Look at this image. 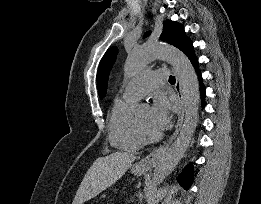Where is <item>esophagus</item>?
<instances>
[{
    "label": "esophagus",
    "instance_id": "1",
    "mask_svg": "<svg viewBox=\"0 0 261 204\" xmlns=\"http://www.w3.org/2000/svg\"><path fill=\"white\" fill-rule=\"evenodd\" d=\"M175 90L177 92L179 111H178V119H177V123H176V127H175V131L173 133V136L171 137L168 144L154 149L151 153H149L146 157H144L139 162V166L143 169H152L158 164L161 157L163 156V154L169 147V144L175 139V137L177 136V134L182 126L183 119H184V98H183V94H182V86H181V83H180V80L178 77H176Z\"/></svg>",
    "mask_w": 261,
    "mask_h": 204
}]
</instances>
